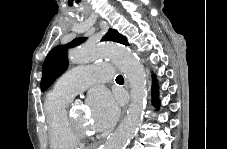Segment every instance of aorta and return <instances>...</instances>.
Listing matches in <instances>:
<instances>
[{
  "label": "aorta",
  "instance_id": "aorta-1",
  "mask_svg": "<svg viewBox=\"0 0 227 149\" xmlns=\"http://www.w3.org/2000/svg\"><path fill=\"white\" fill-rule=\"evenodd\" d=\"M104 58H109L121 69L131 87V104L127 115L108 138L104 149H125L142 121L147 96L146 73L132 51L120 45L82 46L69 53V60L73 64Z\"/></svg>",
  "mask_w": 227,
  "mask_h": 149
}]
</instances>
